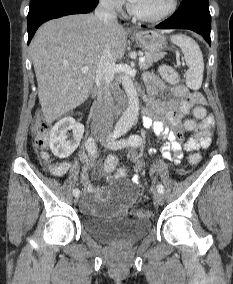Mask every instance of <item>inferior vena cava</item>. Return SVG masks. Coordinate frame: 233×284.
Wrapping results in <instances>:
<instances>
[{
    "label": "inferior vena cava",
    "instance_id": "obj_1",
    "mask_svg": "<svg viewBox=\"0 0 233 284\" xmlns=\"http://www.w3.org/2000/svg\"><path fill=\"white\" fill-rule=\"evenodd\" d=\"M95 17L102 20L109 27L118 24L114 0H100L95 9ZM115 58L107 48L98 63L96 71V84L98 87L97 103L93 110L92 127L102 133H110L113 129V91L111 86L114 77Z\"/></svg>",
    "mask_w": 233,
    "mask_h": 284
}]
</instances>
